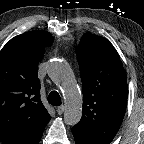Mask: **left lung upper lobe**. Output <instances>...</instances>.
Here are the masks:
<instances>
[{
	"label": "left lung upper lobe",
	"instance_id": "left-lung-upper-lobe-1",
	"mask_svg": "<svg viewBox=\"0 0 144 144\" xmlns=\"http://www.w3.org/2000/svg\"><path fill=\"white\" fill-rule=\"evenodd\" d=\"M76 55L83 85V112L72 132L109 144L127 107V78L122 61L107 39L89 32L82 36Z\"/></svg>",
	"mask_w": 144,
	"mask_h": 144
}]
</instances>
